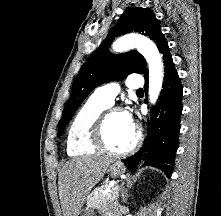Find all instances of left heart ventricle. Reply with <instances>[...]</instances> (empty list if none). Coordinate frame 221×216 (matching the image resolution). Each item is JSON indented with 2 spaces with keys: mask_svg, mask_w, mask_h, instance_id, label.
Returning <instances> with one entry per match:
<instances>
[{
  "mask_svg": "<svg viewBox=\"0 0 221 216\" xmlns=\"http://www.w3.org/2000/svg\"><path fill=\"white\" fill-rule=\"evenodd\" d=\"M135 131L127 124L123 113L112 114L105 127V139L109 147L120 150L129 146Z\"/></svg>",
  "mask_w": 221,
  "mask_h": 216,
  "instance_id": "obj_1",
  "label": "left heart ventricle"
}]
</instances>
